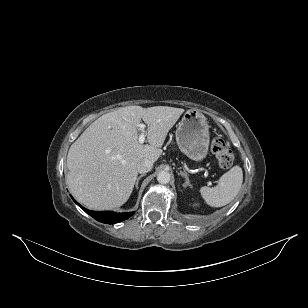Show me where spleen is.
I'll use <instances>...</instances> for the list:
<instances>
[{"instance_id": "1", "label": "spleen", "mask_w": 308, "mask_h": 308, "mask_svg": "<svg viewBox=\"0 0 308 308\" xmlns=\"http://www.w3.org/2000/svg\"><path fill=\"white\" fill-rule=\"evenodd\" d=\"M243 182L241 167L234 166L223 174L215 187H201L200 194L212 207H222L230 203L239 193Z\"/></svg>"}]
</instances>
